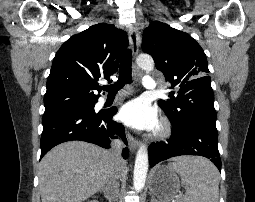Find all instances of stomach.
I'll return each instance as SVG.
<instances>
[{
    "mask_svg": "<svg viewBox=\"0 0 255 202\" xmlns=\"http://www.w3.org/2000/svg\"><path fill=\"white\" fill-rule=\"evenodd\" d=\"M149 189L160 202H170L178 197L179 177L168 167L159 165L153 169L150 175Z\"/></svg>",
    "mask_w": 255,
    "mask_h": 202,
    "instance_id": "1",
    "label": "stomach"
}]
</instances>
